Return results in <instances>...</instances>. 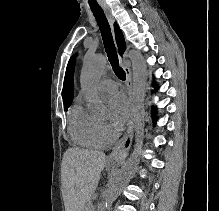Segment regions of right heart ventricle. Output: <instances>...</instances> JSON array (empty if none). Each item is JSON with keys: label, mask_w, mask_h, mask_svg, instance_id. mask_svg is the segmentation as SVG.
Segmentation results:
<instances>
[{"label": "right heart ventricle", "mask_w": 219, "mask_h": 211, "mask_svg": "<svg viewBox=\"0 0 219 211\" xmlns=\"http://www.w3.org/2000/svg\"><path fill=\"white\" fill-rule=\"evenodd\" d=\"M99 123L87 113L83 106L77 104L72 107L69 132L72 139L79 145L91 148L103 146Z\"/></svg>", "instance_id": "1"}]
</instances>
